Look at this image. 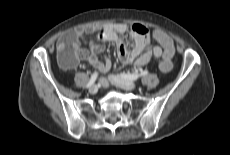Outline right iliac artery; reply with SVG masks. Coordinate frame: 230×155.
Masks as SVG:
<instances>
[{
  "label": "right iliac artery",
  "instance_id": "1",
  "mask_svg": "<svg viewBox=\"0 0 230 155\" xmlns=\"http://www.w3.org/2000/svg\"><path fill=\"white\" fill-rule=\"evenodd\" d=\"M97 77H98V73H97V72H94V73L91 75V78H90V80H89V82H88V84H87V88H88V87H91V86L95 83Z\"/></svg>",
  "mask_w": 230,
  "mask_h": 155
}]
</instances>
